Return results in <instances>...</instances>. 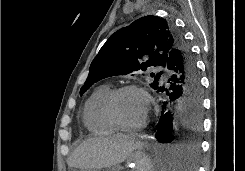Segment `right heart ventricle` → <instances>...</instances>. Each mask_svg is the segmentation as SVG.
<instances>
[{"label": "right heart ventricle", "instance_id": "e07e8e85", "mask_svg": "<svg viewBox=\"0 0 245 171\" xmlns=\"http://www.w3.org/2000/svg\"><path fill=\"white\" fill-rule=\"evenodd\" d=\"M113 90L109 84H103L94 89L86 100L83 110V122L89 132L97 135L113 134L117 127L108 118L105 102Z\"/></svg>", "mask_w": 245, "mask_h": 171}]
</instances>
